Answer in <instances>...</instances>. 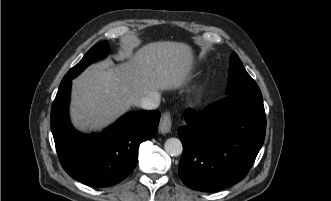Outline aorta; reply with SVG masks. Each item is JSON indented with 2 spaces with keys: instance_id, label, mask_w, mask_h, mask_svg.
Segmentation results:
<instances>
[{
  "instance_id": "obj_1",
  "label": "aorta",
  "mask_w": 331,
  "mask_h": 201,
  "mask_svg": "<svg viewBox=\"0 0 331 201\" xmlns=\"http://www.w3.org/2000/svg\"><path fill=\"white\" fill-rule=\"evenodd\" d=\"M165 150L171 156H178L183 151L182 143L177 138H169L165 142Z\"/></svg>"
}]
</instances>
